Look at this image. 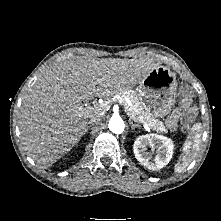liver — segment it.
<instances>
[{
  "mask_svg": "<svg viewBox=\"0 0 221 221\" xmlns=\"http://www.w3.org/2000/svg\"><path fill=\"white\" fill-rule=\"evenodd\" d=\"M157 66L144 58L77 57L55 64L22 100L19 125L27 153L39 166H51L80 141L88 119L98 116L82 112V101L131 89Z\"/></svg>",
  "mask_w": 221,
  "mask_h": 221,
  "instance_id": "obj_1",
  "label": "liver"
}]
</instances>
